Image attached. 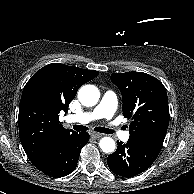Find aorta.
<instances>
[{"label": "aorta", "instance_id": "obj_1", "mask_svg": "<svg viewBox=\"0 0 194 194\" xmlns=\"http://www.w3.org/2000/svg\"><path fill=\"white\" fill-rule=\"evenodd\" d=\"M100 98L99 90L94 85L82 86L78 91V99L82 105L86 107L94 106L98 103ZM99 146L105 153H112L115 151L116 143L110 137H103L99 142Z\"/></svg>", "mask_w": 194, "mask_h": 194}]
</instances>
